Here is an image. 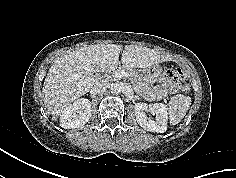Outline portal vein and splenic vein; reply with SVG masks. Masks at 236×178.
Returning a JSON list of instances; mask_svg holds the SVG:
<instances>
[{
    "mask_svg": "<svg viewBox=\"0 0 236 178\" xmlns=\"http://www.w3.org/2000/svg\"><path fill=\"white\" fill-rule=\"evenodd\" d=\"M115 77L116 78H122V77H129V73L128 72H125V71H118V72H115Z\"/></svg>",
    "mask_w": 236,
    "mask_h": 178,
    "instance_id": "1",
    "label": "portal vein and splenic vein"
}]
</instances>
